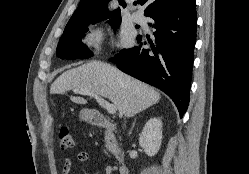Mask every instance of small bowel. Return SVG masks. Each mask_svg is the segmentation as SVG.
<instances>
[{"instance_id":"1","label":"small bowel","mask_w":249,"mask_h":174,"mask_svg":"<svg viewBox=\"0 0 249 174\" xmlns=\"http://www.w3.org/2000/svg\"><path fill=\"white\" fill-rule=\"evenodd\" d=\"M89 158V155L87 152H79L77 154V160L80 162L87 161ZM72 171V161L69 158H66L63 162V167H62V174H70ZM111 173V167L107 166L105 169V174H110Z\"/></svg>"}]
</instances>
